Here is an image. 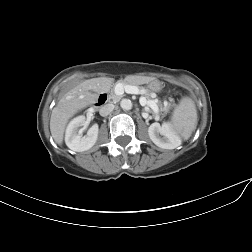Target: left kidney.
<instances>
[{
  "mask_svg": "<svg viewBox=\"0 0 252 252\" xmlns=\"http://www.w3.org/2000/svg\"><path fill=\"white\" fill-rule=\"evenodd\" d=\"M148 134L152 142L163 149H175L181 144V139L170 124L160 125L155 122L148 128Z\"/></svg>",
  "mask_w": 252,
  "mask_h": 252,
  "instance_id": "5707ae66",
  "label": "left kidney"
}]
</instances>
